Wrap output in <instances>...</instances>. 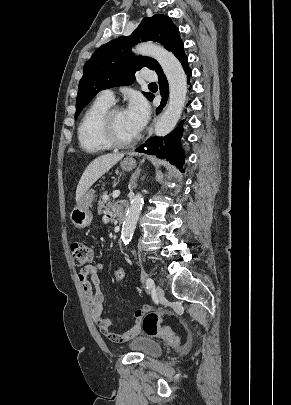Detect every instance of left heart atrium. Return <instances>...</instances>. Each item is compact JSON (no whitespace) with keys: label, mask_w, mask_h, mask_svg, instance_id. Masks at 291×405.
<instances>
[{"label":"left heart atrium","mask_w":291,"mask_h":405,"mask_svg":"<svg viewBox=\"0 0 291 405\" xmlns=\"http://www.w3.org/2000/svg\"><path fill=\"white\" fill-rule=\"evenodd\" d=\"M133 129L139 133L145 126L149 117V107L142 98H134L125 110Z\"/></svg>","instance_id":"39dd6f15"}]
</instances>
